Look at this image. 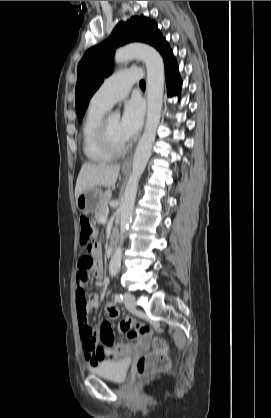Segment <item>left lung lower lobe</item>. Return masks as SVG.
Listing matches in <instances>:
<instances>
[{
  "instance_id": "0a47b994",
  "label": "left lung lower lobe",
  "mask_w": 271,
  "mask_h": 418,
  "mask_svg": "<svg viewBox=\"0 0 271 418\" xmlns=\"http://www.w3.org/2000/svg\"><path fill=\"white\" fill-rule=\"evenodd\" d=\"M164 59L165 78L169 96L180 94L182 81L178 71V64L166 40L158 50Z\"/></svg>"
}]
</instances>
